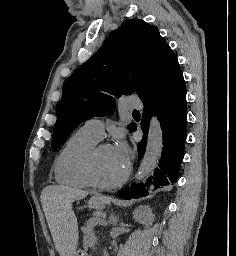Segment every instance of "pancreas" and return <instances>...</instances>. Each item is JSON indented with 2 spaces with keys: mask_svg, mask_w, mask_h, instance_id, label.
I'll return each instance as SVG.
<instances>
[{
  "mask_svg": "<svg viewBox=\"0 0 236 256\" xmlns=\"http://www.w3.org/2000/svg\"><path fill=\"white\" fill-rule=\"evenodd\" d=\"M85 236L82 238V243L85 248L93 247V243L97 242L96 238H93L94 232L92 231V224H85V227L82 228Z\"/></svg>",
  "mask_w": 236,
  "mask_h": 256,
  "instance_id": "cf45deb5",
  "label": "pancreas"
}]
</instances>
